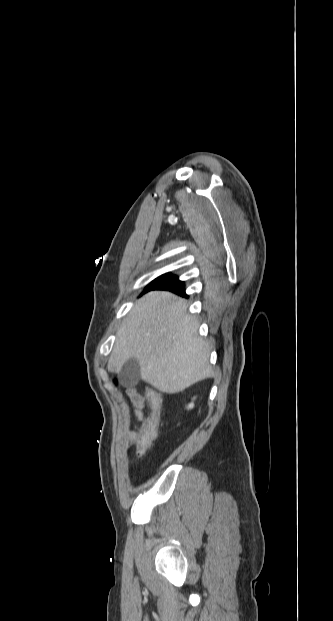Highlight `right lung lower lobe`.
I'll list each match as a JSON object with an SVG mask.
<instances>
[{
  "instance_id": "98d812e1",
  "label": "right lung lower lobe",
  "mask_w": 333,
  "mask_h": 621,
  "mask_svg": "<svg viewBox=\"0 0 333 621\" xmlns=\"http://www.w3.org/2000/svg\"><path fill=\"white\" fill-rule=\"evenodd\" d=\"M152 290H169L178 295L188 297L185 293V285L183 281H180L177 276L169 275L163 279H161L158 283H156L152 288ZM150 289V290H151Z\"/></svg>"
}]
</instances>
